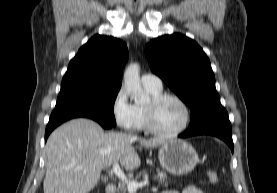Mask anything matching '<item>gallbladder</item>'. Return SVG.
Masks as SVG:
<instances>
[{
  "label": "gallbladder",
  "instance_id": "bac80fb5",
  "mask_svg": "<svg viewBox=\"0 0 277 193\" xmlns=\"http://www.w3.org/2000/svg\"><path fill=\"white\" fill-rule=\"evenodd\" d=\"M101 180H102V182H107L108 179H107V177L104 176V177H101Z\"/></svg>",
  "mask_w": 277,
  "mask_h": 193
}]
</instances>
